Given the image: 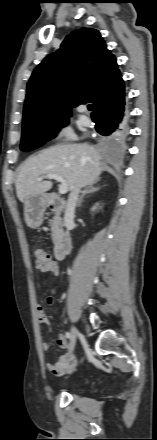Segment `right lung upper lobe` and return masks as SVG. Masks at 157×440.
<instances>
[{
  "instance_id": "right-lung-upper-lobe-1",
  "label": "right lung upper lobe",
  "mask_w": 157,
  "mask_h": 440,
  "mask_svg": "<svg viewBox=\"0 0 157 440\" xmlns=\"http://www.w3.org/2000/svg\"><path fill=\"white\" fill-rule=\"evenodd\" d=\"M125 94L116 58L100 33L81 28L33 71L27 85L23 126L68 120L71 107L92 102L95 111Z\"/></svg>"
}]
</instances>
